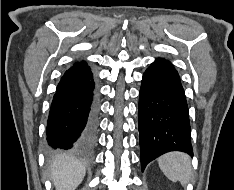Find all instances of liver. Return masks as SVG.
Returning a JSON list of instances; mask_svg holds the SVG:
<instances>
[{"label":"liver","instance_id":"1","mask_svg":"<svg viewBox=\"0 0 234 190\" xmlns=\"http://www.w3.org/2000/svg\"><path fill=\"white\" fill-rule=\"evenodd\" d=\"M85 176V167L73 157L58 156L50 166L56 190H75Z\"/></svg>","mask_w":234,"mask_h":190}]
</instances>
